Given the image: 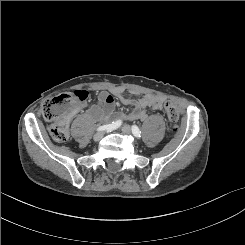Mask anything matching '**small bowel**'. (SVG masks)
Listing matches in <instances>:
<instances>
[{
	"label": "small bowel",
	"instance_id": "1",
	"mask_svg": "<svg viewBox=\"0 0 245 245\" xmlns=\"http://www.w3.org/2000/svg\"><path fill=\"white\" fill-rule=\"evenodd\" d=\"M165 99L155 94H145L140 98L121 97L123 105L132 106L133 110L126 115L128 120H146V109L160 110ZM115 102L113 96L108 92H100L98 101L89 110V115L94 120L108 118L114 111Z\"/></svg>",
	"mask_w": 245,
	"mask_h": 245
}]
</instances>
